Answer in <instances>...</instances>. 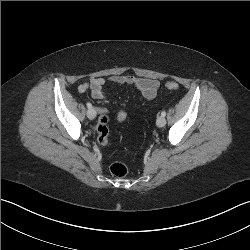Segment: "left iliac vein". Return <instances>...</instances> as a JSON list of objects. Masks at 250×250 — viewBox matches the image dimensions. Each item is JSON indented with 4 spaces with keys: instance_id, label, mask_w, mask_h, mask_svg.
I'll return each instance as SVG.
<instances>
[{
    "instance_id": "left-iliac-vein-1",
    "label": "left iliac vein",
    "mask_w": 250,
    "mask_h": 250,
    "mask_svg": "<svg viewBox=\"0 0 250 250\" xmlns=\"http://www.w3.org/2000/svg\"><path fill=\"white\" fill-rule=\"evenodd\" d=\"M156 124L158 127H164L166 124V119L163 116L157 118Z\"/></svg>"
}]
</instances>
